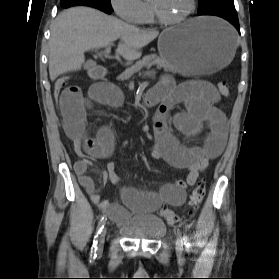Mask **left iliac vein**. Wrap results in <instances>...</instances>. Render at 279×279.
Segmentation results:
<instances>
[{"mask_svg":"<svg viewBox=\"0 0 279 279\" xmlns=\"http://www.w3.org/2000/svg\"><path fill=\"white\" fill-rule=\"evenodd\" d=\"M176 251H177L178 256L182 255V252H183V241H182V238H181L180 234L177 235Z\"/></svg>","mask_w":279,"mask_h":279,"instance_id":"4c4485c4","label":"left iliac vein"}]
</instances>
